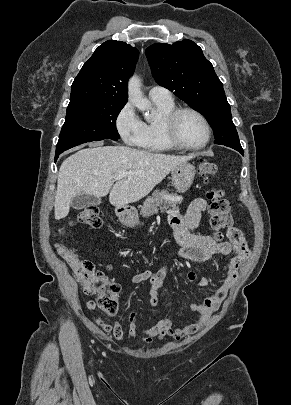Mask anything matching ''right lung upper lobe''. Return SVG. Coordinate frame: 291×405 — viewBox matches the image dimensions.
<instances>
[{"label":"right lung upper lobe","instance_id":"1","mask_svg":"<svg viewBox=\"0 0 291 405\" xmlns=\"http://www.w3.org/2000/svg\"><path fill=\"white\" fill-rule=\"evenodd\" d=\"M139 51L121 41L101 44L83 65L71 87L69 104L127 102V81Z\"/></svg>","mask_w":291,"mask_h":405}]
</instances>
